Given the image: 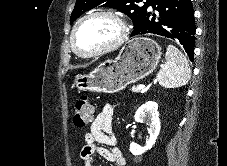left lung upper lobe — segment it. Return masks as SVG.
<instances>
[{
    "label": "left lung upper lobe",
    "mask_w": 227,
    "mask_h": 166,
    "mask_svg": "<svg viewBox=\"0 0 227 166\" xmlns=\"http://www.w3.org/2000/svg\"><path fill=\"white\" fill-rule=\"evenodd\" d=\"M141 1L142 0H76L75 8L70 17V24H72L83 13L96 6L113 7L125 13L132 19L134 24L132 35H134L139 29L146 14V3L143 6L135 4L136 2Z\"/></svg>",
    "instance_id": "obj_1"
}]
</instances>
